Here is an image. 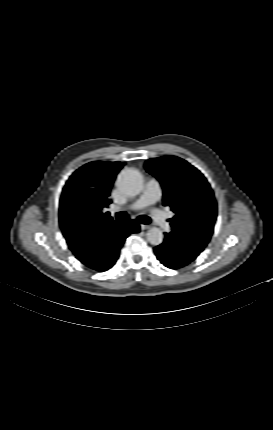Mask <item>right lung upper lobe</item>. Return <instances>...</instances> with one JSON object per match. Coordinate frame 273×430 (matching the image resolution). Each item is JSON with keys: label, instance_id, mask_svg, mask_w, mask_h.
<instances>
[{"label": "right lung upper lobe", "instance_id": "right-lung-upper-lobe-1", "mask_svg": "<svg viewBox=\"0 0 273 430\" xmlns=\"http://www.w3.org/2000/svg\"><path fill=\"white\" fill-rule=\"evenodd\" d=\"M124 164L90 162L76 170L63 188L59 204L60 227L80 261L90 254L87 243L95 235L119 226L103 209L111 203L110 189Z\"/></svg>", "mask_w": 273, "mask_h": 430}]
</instances>
